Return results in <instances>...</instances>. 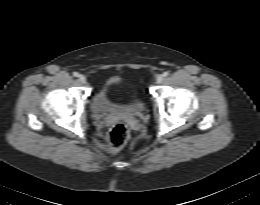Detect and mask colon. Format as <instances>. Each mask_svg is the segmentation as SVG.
Returning a JSON list of instances; mask_svg holds the SVG:
<instances>
[{
    "instance_id": "5ec220e1",
    "label": "colon",
    "mask_w": 260,
    "mask_h": 205,
    "mask_svg": "<svg viewBox=\"0 0 260 205\" xmlns=\"http://www.w3.org/2000/svg\"><path fill=\"white\" fill-rule=\"evenodd\" d=\"M129 131L123 123H116L110 127L106 134V142L113 152L124 147L128 140Z\"/></svg>"
}]
</instances>
